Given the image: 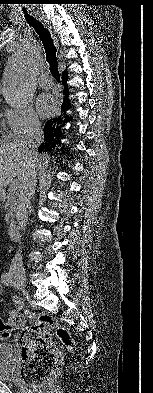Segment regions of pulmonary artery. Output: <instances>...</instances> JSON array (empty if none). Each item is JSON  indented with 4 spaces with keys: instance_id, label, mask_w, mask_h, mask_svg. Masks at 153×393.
<instances>
[{
    "instance_id": "1",
    "label": "pulmonary artery",
    "mask_w": 153,
    "mask_h": 393,
    "mask_svg": "<svg viewBox=\"0 0 153 393\" xmlns=\"http://www.w3.org/2000/svg\"><path fill=\"white\" fill-rule=\"evenodd\" d=\"M39 84L42 88H50L53 84V80L48 73H43L39 76Z\"/></svg>"
}]
</instances>
